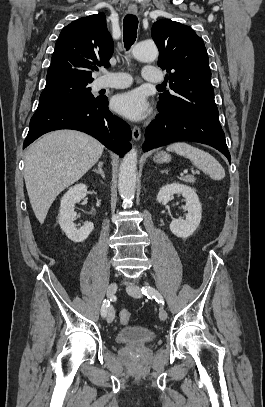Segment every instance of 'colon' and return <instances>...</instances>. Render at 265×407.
<instances>
[{
  "mask_svg": "<svg viewBox=\"0 0 265 407\" xmlns=\"http://www.w3.org/2000/svg\"><path fill=\"white\" fill-rule=\"evenodd\" d=\"M119 320L122 325H126L131 320V313L127 310H122L119 314Z\"/></svg>",
  "mask_w": 265,
  "mask_h": 407,
  "instance_id": "colon-1",
  "label": "colon"
}]
</instances>
